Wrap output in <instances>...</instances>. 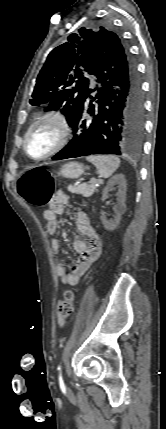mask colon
Wrapping results in <instances>:
<instances>
[{
  "mask_svg": "<svg viewBox=\"0 0 166 429\" xmlns=\"http://www.w3.org/2000/svg\"><path fill=\"white\" fill-rule=\"evenodd\" d=\"M53 176L43 167H33L26 170L18 180L17 187L20 196L34 206H44L51 200L53 192ZM75 309L73 292L66 291L58 304V318L68 320Z\"/></svg>",
  "mask_w": 166,
  "mask_h": 429,
  "instance_id": "5ec220e1",
  "label": "colon"
}]
</instances>
